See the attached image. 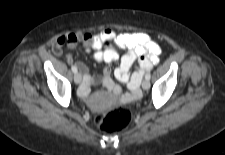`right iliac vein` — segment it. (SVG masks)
Segmentation results:
<instances>
[{
    "label": "right iliac vein",
    "instance_id": "right-iliac-vein-1",
    "mask_svg": "<svg viewBox=\"0 0 225 155\" xmlns=\"http://www.w3.org/2000/svg\"><path fill=\"white\" fill-rule=\"evenodd\" d=\"M81 80H82V78H81V74L80 73H75V75H74V82L76 83V84H80L81 83Z\"/></svg>",
    "mask_w": 225,
    "mask_h": 155
}]
</instances>
